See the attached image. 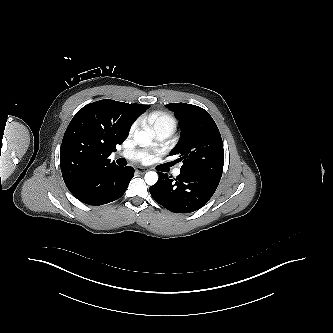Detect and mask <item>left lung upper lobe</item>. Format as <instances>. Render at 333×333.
<instances>
[{
  "instance_id": "1",
  "label": "left lung upper lobe",
  "mask_w": 333,
  "mask_h": 333,
  "mask_svg": "<svg viewBox=\"0 0 333 333\" xmlns=\"http://www.w3.org/2000/svg\"><path fill=\"white\" fill-rule=\"evenodd\" d=\"M166 107L174 112L181 124V136L170 155L182 162L180 172L220 180L224 165V149L219 129L203 108L186 103H171Z\"/></svg>"
}]
</instances>
